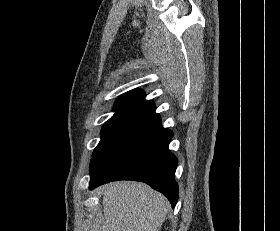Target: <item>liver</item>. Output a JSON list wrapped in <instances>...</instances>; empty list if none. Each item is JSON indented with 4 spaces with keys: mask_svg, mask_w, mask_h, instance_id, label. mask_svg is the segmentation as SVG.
<instances>
[{
    "mask_svg": "<svg viewBox=\"0 0 280 231\" xmlns=\"http://www.w3.org/2000/svg\"><path fill=\"white\" fill-rule=\"evenodd\" d=\"M103 217H94L92 231H159L169 203L159 191L138 181L106 185Z\"/></svg>",
    "mask_w": 280,
    "mask_h": 231,
    "instance_id": "6515ba94",
    "label": "liver"
}]
</instances>
